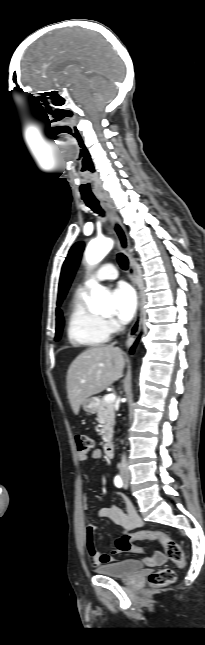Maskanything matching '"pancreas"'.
Returning a JSON list of instances; mask_svg holds the SVG:
<instances>
[{
	"mask_svg": "<svg viewBox=\"0 0 205 645\" xmlns=\"http://www.w3.org/2000/svg\"><path fill=\"white\" fill-rule=\"evenodd\" d=\"M105 397L100 399L97 409V421L102 425L101 436L104 442H109L113 435L115 423L114 402H106Z\"/></svg>",
	"mask_w": 205,
	"mask_h": 645,
	"instance_id": "1",
	"label": "pancreas"
}]
</instances>
